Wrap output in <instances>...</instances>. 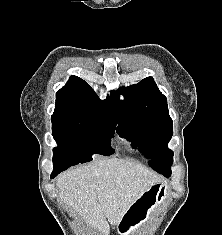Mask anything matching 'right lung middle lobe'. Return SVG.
<instances>
[{
	"label": "right lung middle lobe",
	"instance_id": "right-lung-middle-lobe-1",
	"mask_svg": "<svg viewBox=\"0 0 222 235\" xmlns=\"http://www.w3.org/2000/svg\"><path fill=\"white\" fill-rule=\"evenodd\" d=\"M52 133L58 147L53 149L54 174L92 160L93 154L109 156L117 121L96 115L52 116Z\"/></svg>",
	"mask_w": 222,
	"mask_h": 235
}]
</instances>
